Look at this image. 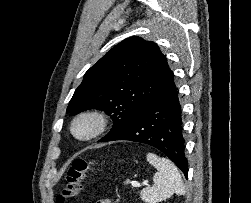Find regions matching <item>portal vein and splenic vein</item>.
Returning <instances> with one entry per match:
<instances>
[{
	"mask_svg": "<svg viewBox=\"0 0 251 203\" xmlns=\"http://www.w3.org/2000/svg\"><path fill=\"white\" fill-rule=\"evenodd\" d=\"M131 185L133 186V187H141V186H144V185H148V183L147 182H143V183H139V182H137V181H132L131 182Z\"/></svg>",
	"mask_w": 251,
	"mask_h": 203,
	"instance_id": "18ae733b",
	"label": "portal vein and splenic vein"
}]
</instances>
